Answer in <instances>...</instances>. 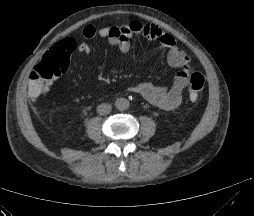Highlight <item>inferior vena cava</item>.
<instances>
[{"label": "inferior vena cava", "instance_id": "obj_1", "mask_svg": "<svg viewBox=\"0 0 254 216\" xmlns=\"http://www.w3.org/2000/svg\"><path fill=\"white\" fill-rule=\"evenodd\" d=\"M111 112V105L107 103H102L97 107V113L99 115H107Z\"/></svg>", "mask_w": 254, "mask_h": 216}]
</instances>
